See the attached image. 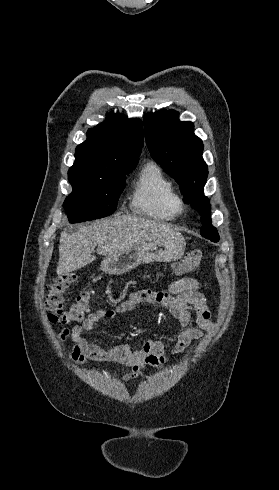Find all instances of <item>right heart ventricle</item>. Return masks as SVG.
Listing matches in <instances>:
<instances>
[{
  "mask_svg": "<svg viewBox=\"0 0 279 490\" xmlns=\"http://www.w3.org/2000/svg\"><path fill=\"white\" fill-rule=\"evenodd\" d=\"M132 206L142 216L175 221L184 213V202L175 181L155 161L145 163L139 171Z\"/></svg>",
  "mask_w": 279,
  "mask_h": 490,
  "instance_id": "e07e8e85",
  "label": "right heart ventricle"
}]
</instances>
